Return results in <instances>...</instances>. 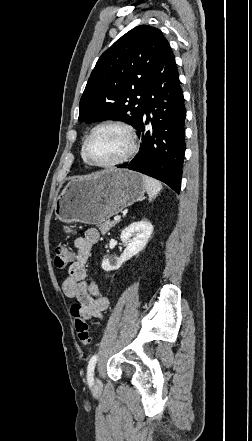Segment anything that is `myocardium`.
<instances>
[{
	"mask_svg": "<svg viewBox=\"0 0 252 441\" xmlns=\"http://www.w3.org/2000/svg\"><path fill=\"white\" fill-rule=\"evenodd\" d=\"M105 127L117 128V129H120L121 131H123V133L125 134L127 141H128V148H127L126 152L120 158H118L112 162L98 163V162L93 161L89 157L88 143H89L90 139L92 138V136L98 130L105 128ZM136 151H137V139H136L135 131L129 124L122 122V121L108 120V121H103V122L98 123L97 125H95L91 129V131L89 132V134L85 138L83 145H82V155H83L85 161L89 165H91L93 167H98V168H113V167L120 166V165L128 162L132 158V156L136 153Z\"/></svg>",
	"mask_w": 252,
	"mask_h": 441,
	"instance_id": "1",
	"label": "myocardium"
}]
</instances>
